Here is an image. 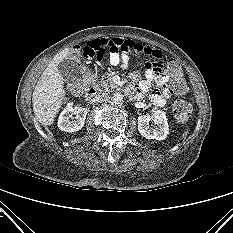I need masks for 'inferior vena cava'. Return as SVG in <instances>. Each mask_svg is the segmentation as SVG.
Masks as SVG:
<instances>
[{
  "instance_id": "602c4592",
  "label": "inferior vena cava",
  "mask_w": 233,
  "mask_h": 233,
  "mask_svg": "<svg viewBox=\"0 0 233 233\" xmlns=\"http://www.w3.org/2000/svg\"><path fill=\"white\" fill-rule=\"evenodd\" d=\"M97 102H105L110 99L109 95L107 93H99L95 97Z\"/></svg>"
}]
</instances>
